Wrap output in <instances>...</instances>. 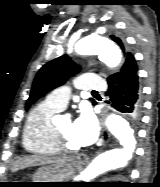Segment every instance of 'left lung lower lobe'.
I'll use <instances>...</instances> for the list:
<instances>
[{
  "label": "left lung lower lobe",
  "instance_id": "0a47b994",
  "mask_svg": "<svg viewBox=\"0 0 160 187\" xmlns=\"http://www.w3.org/2000/svg\"><path fill=\"white\" fill-rule=\"evenodd\" d=\"M107 81L109 88L106 96L111 106L137 122L142 110V92L134 56H128L121 70Z\"/></svg>",
  "mask_w": 160,
  "mask_h": 187
}]
</instances>
